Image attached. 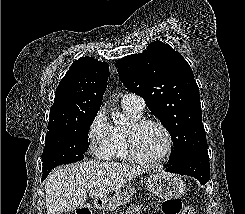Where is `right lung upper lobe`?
Wrapping results in <instances>:
<instances>
[{
    "mask_svg": "<svg viewBox=\"0 0 245 214\" xmlns=\"http://www.w3.org/2000/svg\"><path fill=\"white\" fill-rule=\"evenodd\" d=\"M108 75L107 62L92 57L74 61L56 89L47 134L71 128L83 114L98 111Z\"/></svg>",
    "mask_w": 245,
    "mask_h": 214,
    "instance_id": "1",
    "label": "right lung upper lobe"
}]
</instances>
